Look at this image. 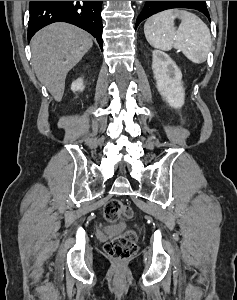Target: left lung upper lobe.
Listing matches in <instances>:
<instances>
[{"instance_id":"left-lung-upper-lobe-1","label":"left lung upper lobe","mask_w":237,"mask_h":300,"mask_svg":"<svg viewBox=\"0 0 237 300\" xmlns=\"http://www.w3.org/2000/svg\"><path fill=\"white\" fill-rule=\"evenodd\" d=\"M173 8L195 9L202 12L210 20L205 1H146L143 10L137 18L136 28L141 21L151 15Z\"/></svg>"}]
</instances>
